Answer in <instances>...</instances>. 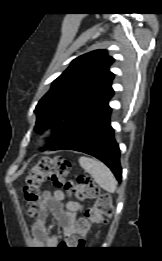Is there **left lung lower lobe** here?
Here are the masks:
<instances>
[{
  "instance_id": "left-lung-lower-lobe-1",
  "label": "left lung lower lobe",
  "mask_w": 162,
  "mask_h": 261,
  "mask_svg": "<svg viewBox=\"0 0 162 261\" xmlns=\"http://www.w3.org/2000/svg\"><path fill=\"white\" fill-rule=\"evenodd\" d=\"M110 114L111 108L107 104L51 150L67 149L92 155L104 162L121 181L120 149L110 125Z\"/></svg>"
}]
</instances>
